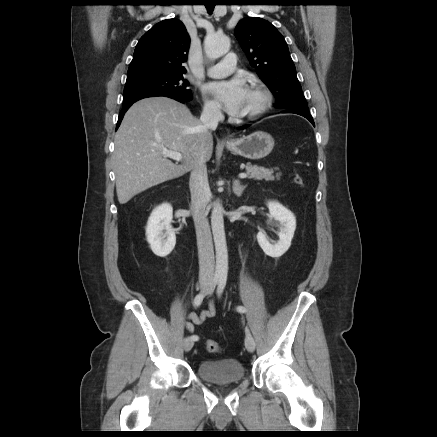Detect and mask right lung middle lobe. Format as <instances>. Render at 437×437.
<instances>
[{
  "label": "right lung middle lobe",
  "mask_w": 437,
  "mask_h": 437,
  "mask_svg": "<svg viewBox=\"0 0 437 437\" xmlns=\"http://www.w3.org/2000/svg\"><path fill=\"white\" fill-rule=\"evenodd\" d=\"M189 82L182 73L158 71L128 72L123 105L146 97L175 96L192 98Z\"/></svg>",
  "instance_id": "1"
}]
</instances>
